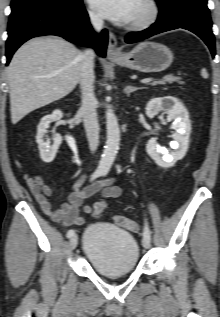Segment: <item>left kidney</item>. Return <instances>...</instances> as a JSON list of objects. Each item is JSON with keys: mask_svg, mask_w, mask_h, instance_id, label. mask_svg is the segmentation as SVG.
Returning a JSON list of instances; mask_svg holds the SVG:
<instances>
[{"mask_svg": "<svg viewBox=\"0 0 220 317\" xmlns=\"http://www.w3.org/2000/svg\"><path fill=\"white\" fill-rule=\"evenodd\" d=\"M145 109L149 118H153L163 110L167 114V119L173 121L172 128L176 132L172 135L174 141H171L170 146L175 152L169 153L167 149L157 144L155 138L150 139L146 145L148 155L159 166L171 167L185 156L189 146L191 122L188 111L177 98L172 96L151 99Z\"/></svg>", "mask_w": 220, "mask_h": 317, "instance_id": "5707ae66", "label": "left kidney"}]
</instances>
